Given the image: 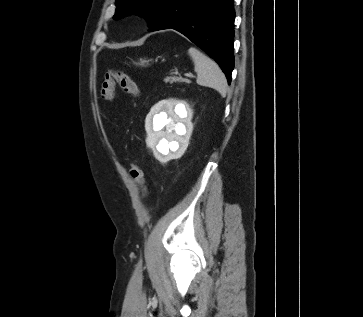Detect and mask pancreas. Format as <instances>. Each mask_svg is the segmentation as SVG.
I'll return each mask as SVG.
<instances>
[{
	"mask_svg": "<svg viewBox=\"0 0 363 317\" xmlns=\"http://www.w3.org/2000/svg\"><path fill=\"white\" fill-rule=\"evenodd\" d=\"M164 81H165V83H168V82H170V83H173V82H187V80L182 79L180 77H166L164 79Z\"/></svg>",
	"mask_w": 363,
	"mask_h": 317,
	"instance_id": "1",
	"label": "pancreas"
}]
</instances>
